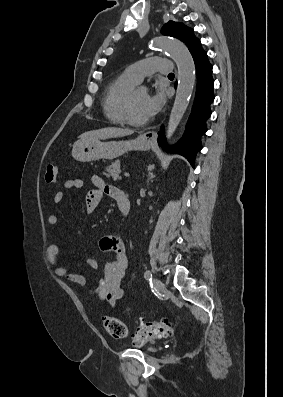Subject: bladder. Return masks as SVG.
Wrapping results in <instances>:
<instances>
[{
	"instance_id": "31cf9c89",
	"label": "bladder",
	"mask_w": 283,
	"mask_h": 397,
	"mask_svg": "<svg viewBox=\"0 0 283 397\" xmlns=\"http://www.w3.org/2000/svg\"><path fill=\"white\" fill-rule=\"evenodd\" d=\"M133 346L136 349H140L143 352H147V353H154L156 351V349L152 346L146 345V342H142V343H134Z\"/></svg>"
}]
</instances>
